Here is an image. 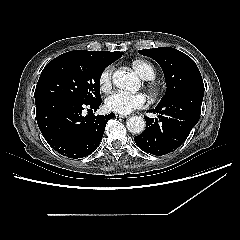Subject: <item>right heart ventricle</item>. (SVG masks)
Segmentation results:
<instances>
[{
  "mask_svg": "<svg viewBox=\"0 0 240 240\" xmlns=\"http://www.w3.org/2000/svg\"><path fill=\"white\" fill-rule=\"evenodd\" d=\"M132 68L143 80H151L155 77V69L151 63L143 59H136L132 62Z\"/></svg>",
  "mask_w": 240,
  "mask_h": 240,
  "instance_id": "right-heart-ventricle-1",
  "label": "right heart ventricle"
}]
</instances>
